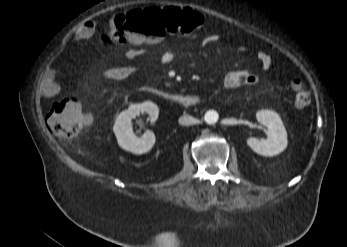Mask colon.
<instances>
[{
	"mask_svg": "<svg viewBox=\"0 0 347 247\" xmlns=\"http://www.w3.org/2000/svg\"><path fill=\"white\" fill-rule=\"evenodd\" d=\"M201 13L177 7H151L117 14L110 23L111 35L106 40L123 43L159 42L167 34L191 33L203 24ZM294 102L297 107H305L311 95L303 81L292 83ZM49 130L57 137L70 139L79 136L90 125L89 116L79 102L72 97L56 100L47 115Z\"/></svg>",
	"mask_w": 347,
	"mask_h": 247,
	"instance_id": "obj_1",
	"label": "colon"
}]
</instances>
